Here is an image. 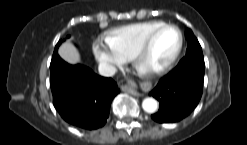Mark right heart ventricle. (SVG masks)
<instances>
[{
  "mask_svg": "<svg viewBox=\"0 0 247 145\" xmlns=\"http://www.w3.org/2000/svg\"><path fill=\"white\" fill-rule=\"evenodd\" d=\"M161 21H145L123 25L108 31L106 41L125 59H131L148 34L162 25Z\"/></svg>",
  "mask_w": 247,
  "mask_h": 145,
  "instance_id": "right-heart-ventricle-1",
  "label": "right heart ventricle"
}]
</instances>
